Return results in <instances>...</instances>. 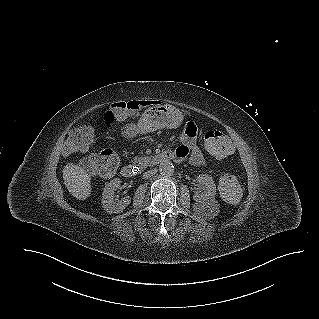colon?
<instances>
[{
    "label": "colon",
    "instance_id": "5ec220e1",
    "mask_svg": "<svg viewBox=\"0 0 319 319\" xmlns=\"http://www.w3.org/2000/svg\"><path fill=\"white\" fill-rule=\"evenodd\" d=\"M152 109V108H150ZM142 137L141 129L134 124L126 125L122 131L113 136V141L118 146L137 144ZM92 139V131L88 127L75 130L67 139L64 150L67 153L80 151L87 147ZM205 143L209 157L218 163L228 161L234 152L231 139L218 131H210L205 136ZM118 165V157L111 149H103L92 155L86 164V169L92 174L109 177ZM221 196L230 202L236 201L241 195V185L232 175H224L219 185Z\"/></svg>",
    "mask_w": 319,
    "mask_h": 319
}]
</instances>
